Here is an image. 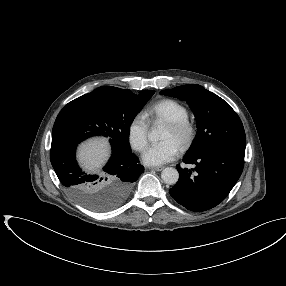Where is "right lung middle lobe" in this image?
Returning a JSON list of instances; mask_svg holds the SVG:
<instances>
[{"instance_id": "dd1d6c3e", "label": "right lung middle lobe", "mask_w": 286, "mask_h": 286, "mask_svg": "<svg viewBox=\"0 0 286 286\" xmlns=\"http://www.w3.org/2000/svg\"><path fill=\"white\" fill-rule=\"evenodd\" d=\"M154 93L143 90L136 95L130 90L102 86L68 103L55 123L82 139L102 135L110 138L113 147L128 149L130 125ZM117 197L123 201L126 195L119 192ZM103 200L94 194L81 203L95 211H107L114 206L104 204Z\"/></svg>"}]
</instances>
